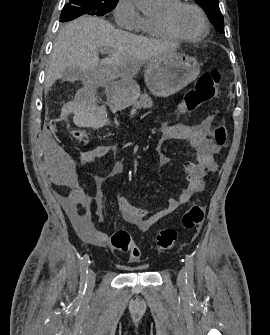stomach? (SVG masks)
Listing matches in <instances>:
<instances>
[{"mask_svg": "<svg viewBox=\"0 0 270 335\" xmlns=\"http://www.w3.org/2000/svg\"><path fill=\"white\" fill-rule=\"evenodd\" d=\"M200 74V64L193 56L186 52H169L154 56L144 74L145 84L153 96L168 98L183 90L185 86L194 82ZM120 92L123 106H131L140 96V88L136 82L126 84L123 80Z\"/></svg>", "mask_w": 270, "mask_h": 335, "instance_id": "0dacf381", "label": "stomach"}]
</instances>
